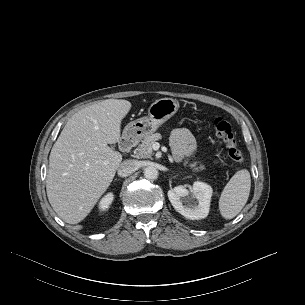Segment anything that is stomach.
I'll list each match as a JSON object with an SVG mask.
<instances>
[{"mask_svg": "<svg viewBox=\"0 0 305 305\" xmlns=\"http://www.w3.org/2000/svg\"><path fill=\"white\" fill-rule=\"evenodd\" d=\"M179 109V103L173 98L156 100L148 108V115L128 123L123 131L124 137L143 138L154 133Z\"/></svg>", "mask_w": 305, "mask_h": 305, "instance_id": "1", "label": "stomach"}]
</instances>
